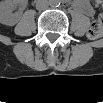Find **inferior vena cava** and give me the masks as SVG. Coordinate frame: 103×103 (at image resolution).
<instances>
[{"label":"inferior vena cava","instance_id":"602c4592","mask_svg":"<svg viewBox=\"0 0 103 103\" xmlns=\"http://www.w3.org/2000/svg\"><path fill=\"white\" fill-rule=\"evenodd\" d=\"M49 7V2L47 0H38L36 2V9L37 10H45Z\"/></svg>","mask_w":103,"mask_h":103}]
</instances>
